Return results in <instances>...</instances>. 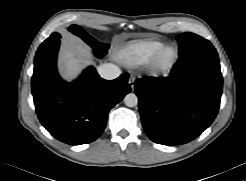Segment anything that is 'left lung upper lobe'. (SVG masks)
Instances as JSON below:
<instances>
[{
	"instance_id": "obj_1",
	"label": "left lung upper lobe",
	"mask_w": 246,
	"mask_h": 181,
	"mask_svg": "<svg viewBox=\"0 0 246 181\" xmlns=\"http://www.w3.org/2000/svg\"><path fill=\"white\" fill-rule=\"evenodd\" d=\"M177 40L180 41L179 55L212 45L207 39L193 33L180 34L178 35Z\"/></svg>"
}]
</instances>
